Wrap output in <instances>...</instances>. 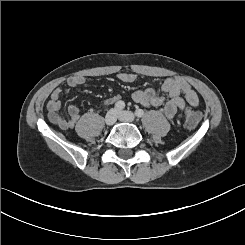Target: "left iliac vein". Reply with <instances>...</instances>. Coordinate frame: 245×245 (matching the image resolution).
Returning <instances> with one entry per match:
<instances>
[{
	"mask_svg": "<svg viewBox=\"0 0 245 245\" xmlns=\"http://www.w3.org/2000/svg\"><path fill=\"white\" fill-rule=\"evenodd\" d=\"M117 117L120 121L132 123L135 120L133 113L129 111H120L117 113Z\"/></svg>",
	"mask_w": 245,
	"mask_h": 245,
	"instance_id": "left-iliac-vein-1",
	"label": "left iliac vein"
}]
</instances>
